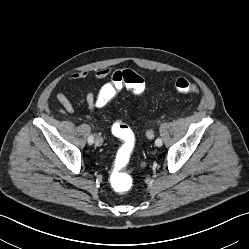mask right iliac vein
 Wrapping results in <instances>:
<instances>
[{
	"instance_id": "1",
	"label": "right iliac vein",
	"mask_w": 249,
	"mask_h": 249,
	"mask_svg": "<svg viewBox=\"0 0 249 249\" xmlns=\"http://www.w3.org/2000/svg\"><path fill=\"white\" fill-rule=\"evenodd\" d=\"M103 144V138L101 136L96 137L95 139V145L101 146Z\"/></svg>"
}]
</instances>
